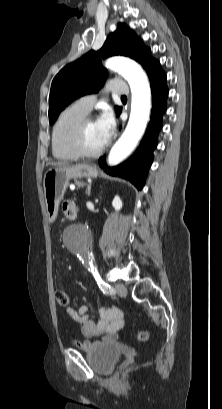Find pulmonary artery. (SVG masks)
<instances>
[{
	"mask_svg": "<svg viewBox=\"0 0 222 409\" xmlns=\"http://www.w3.org/2000/svg\"><path fill=\"white\" fill-rule=\"evenodd\" d=\"M105 90L110 91L114 94H121V95H126L128 93V88L126 87L125 84H118L116 86H107ZM96 100H97L96 94H89V95H85L79 98L75 102V104L79 108H81L83 111L89 113L92 110Z\"/></svg>",
	"mask_w": 222,
	"mask_h": 409,
	"instance_id": "pulmonary-artery-1",
	"label": "pulmonary artery"
}]
</instances>
